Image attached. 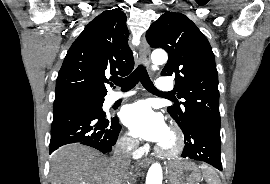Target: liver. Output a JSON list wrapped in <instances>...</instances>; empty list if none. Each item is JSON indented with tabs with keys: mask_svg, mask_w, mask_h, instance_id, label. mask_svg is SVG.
<instances>
[{
	"mask_svg": "<svg viewBox=\"0 0 270 184\" xmlns=\"http://www.w3.org/2000/svg\"><path fill=\"white\" fill-rule=\"evenodd\" d=\"M123 175L100 152L70 144L53 154L50 184H120Z\"/></svg>",
	"mask_w": 270,
	"mask_h": 184,
	"instance_id": "6515ba94",
	"label": "liver"
}]
</instances>
